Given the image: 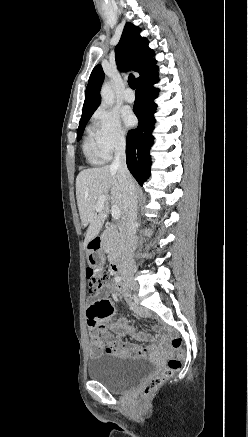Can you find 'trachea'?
Masks as SVG:
<instances>
[{
  "label": "trachea",
  "instance_id": "1",
  "mask_svg": "<svg viewBox=\"0 0 248 437\" xmlns=\"http://www.w3.org/2000/svg\"><path fill=\"white\" fill-rule=\"evenodd\" d=\"M128 84H129V86H130L132 89H135V88H136V79H135L134 75L129 74V77H128Z\"/></svg>",
  "mask_w": 248,
  "mask_h": 437
}]
</instances>
